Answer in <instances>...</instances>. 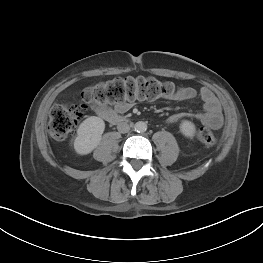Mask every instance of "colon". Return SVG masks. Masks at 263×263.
<instances>
[{"instance_id":"1","label":"colon","mask_w":263,"mask_h":263,"mask_svg":"<svg viewBox=\"0 0 263 263\" xmlns=\"http://www.w3.org/2000/svg\"><path fill=\"white\" fill-rule=\"evenodd\" d=\"M180 89L170 81L153 77L117 78L88 87L82 93L85 102L99 105H119L135 100L152 101L173 97ZM82 108L77 105H55L50 112L49 133L55 139H64L79 123ZM199 140L208 146L217 143L216 134L207 126L198 129Z\"/></svg>"}]
</instances>
